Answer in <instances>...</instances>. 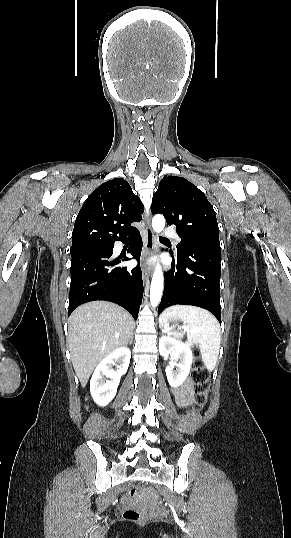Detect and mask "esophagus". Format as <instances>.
Wrapping results in <instances>:
<instances>
[{
    "mask_svg": "<svg viewBox=\"0 0 291 538\" xmlns=\"http://www.w3.org/2000/svg\"><path fill=\"white\" fill-rule=\"evenodd\" d=\"M145 225V240L144 249L142 253V275L143 280L146 281L150 275L152 267V261L148 260L155 252L157 248L156 236L151 228V217L149 214L144 217Z\"/></svg>",
    "mask_w": 291,
    "mask_h": 538,
    "instance_id": "34e87169",
    "label": "esophagus"
}]
</instances>
